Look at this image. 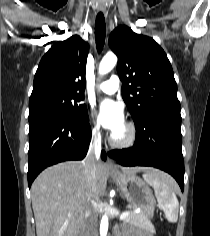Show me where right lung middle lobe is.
I'll return each mask as SVG.
<instances>
[{"mask_svg":"<svg viewBox=\"0 0 210 236\" xmlns=\"http://www.w3.org/2000/svg\"><path fill=\"white\" fill-rule=\"evenodd\" d=\"M83 96L66 93H49L29 101V123L59 117L82 121L88 118Z\"/></svg>","mask_w":210,"mask_h":236,"instance_id":"dd1d6c3e","label":"right lung middle lobe"}]
</instances>
